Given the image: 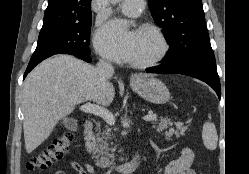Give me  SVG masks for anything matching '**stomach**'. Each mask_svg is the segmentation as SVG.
<instances>
[{"label": "stomach", "instance_id": "1", "mask_svg": "<svg viewBox=\"0 0 249 174\" xmlns=\"http://www.w3.org/2000/svg\"><path fill=\"white\" fill-rule=\"evenodd\" d=\"M132 89L148 102L163 104L170 99L166 85L160 80L146 75H138L131 80Z\"/></svg>", "mask_w": 249, "mask_h": 174}]
</instances>
